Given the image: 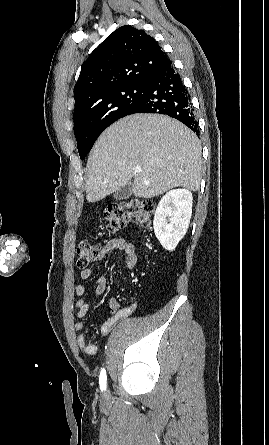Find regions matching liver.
<instances>
[{
	"mask_svg": "<svg viewBox=\"0 0 269 445\" xmlns=\"http://www.w3.org/2000/svg\"><path fill=\"white\" fill-rule=\"evenodd\" d=\"M201 169L200 141L184 124L165 115H130L96 141L87 164L86 199L100 201L132 178L138 198H153L174 187L197 191Z\"/></svg>",
	"mask_w": 269,
	"mask_h": 445,
	"instance_id": "6515ba94",
	"label": "liver"
}]
</instances>
